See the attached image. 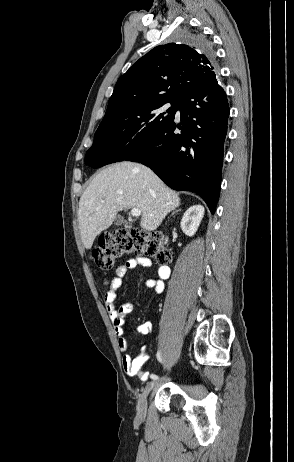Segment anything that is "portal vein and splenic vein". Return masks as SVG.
Returning a JSON list of instances; mask_svg holds the SVG:
<instances>
[{
  "label": "portal vein and splenic vein",
  "instance_id": "18ae733b",
  "mask_svg": "<svg viewBox=\"0 0 294 462\" xmlns=\"http://www.w3.org/2000/svg\"><path fill=\"white\" fill-rule=\"evenodd\" d=\"M131 215L133 217H139V216H141V210L138 209V208H132L131 209Z\"/></svg>",
  "mask_w": 294,
  "mask_h": 462
}]
</instances>
